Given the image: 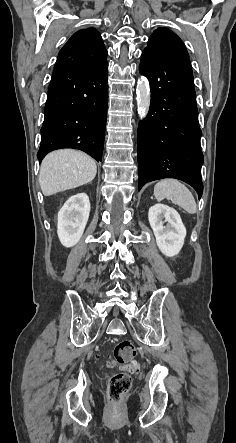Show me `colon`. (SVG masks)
I'll return each mask as SVG.
<instances>
[{
    "instance_id": "colon-1",
    "label": "colon",
    "mask_w": 236,
    "mask_h": 443,
    "mask_svg": "<svg viewBox=\"0 0 236 443\" xmlns=\"http://www.w3.org/2000/svg\"><path fill=\"white\" fill-rule=\"evenodd\" d=\"M136 350L129 340L117 342L114 348V363L126 367L128 370L137 371L140 365L134 360ZM132 378L126 372H114L108 377V396L110 401L118 403L122 396L129 391Z\"/></svg>"
}]
</instances>
